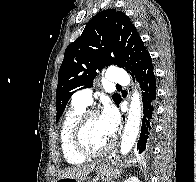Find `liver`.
I'll return each mask as SVG.
<instances>
[{
    "instance_id": "obj_1",
    "label": "liver",
    "mask_w": 196,
    "mask_h": 182,
    "mask_svg": "<svg viewBox=\"0 0 196 182\" xmlns=\"http://www.w3.org/2000/svg\"><path fill=\"white\" fill-rule=\"evenodd\" d=\"M95 168V163L88 164L84 166H78V167H71L66 169L59 178L64 177H73V178H84L87 177Z\"/></svg>"
}]
</instances>
